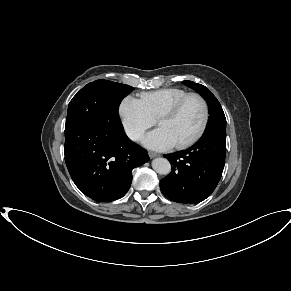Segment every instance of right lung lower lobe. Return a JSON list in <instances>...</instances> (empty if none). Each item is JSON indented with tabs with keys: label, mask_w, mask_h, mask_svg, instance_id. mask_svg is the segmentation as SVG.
<instances>
[{
	"label": "right lung lower lobe",
	"mask_w": 291,
	"mask_h": 291,
	"mask_svg": "<svg viewBox=\"0 0 291 291\" xmlns=\"http://www.w3.org/2000/svg\"><path fill=\"white\" fill-rule=\"evenodd\" d=\"M64 154L76 186L97 202L123 197L131 185L132 170L149 160L147 151L126 136L120 120L95 126L66 122Z\"/></svg>",
	"instance_id": "1"
}]
</instances>
